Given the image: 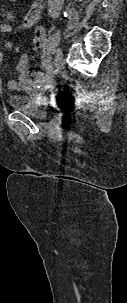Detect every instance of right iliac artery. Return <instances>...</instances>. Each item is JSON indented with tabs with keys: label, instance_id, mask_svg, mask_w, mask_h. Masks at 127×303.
Instances as JSON below:
<instances>
[{
	"label": "right iliac artery",
	"instance_id": "1",
	"mask_svg": "<svg viewBox=\"0 0 127 303\" xmlns=\"http://www.w3.org/2000/svg\"><path fill=\"white\" fill-rule=\"evenodd\" d=\"M49 50L52 54H54L56 52V48L54 45H49Z\"/></svg>",
	"mask_w": 127,
	"mask_h": 303
}]
</instances>
